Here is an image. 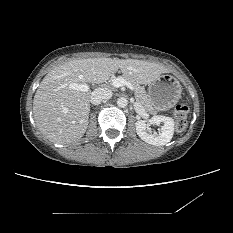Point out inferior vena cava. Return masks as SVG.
Returning <instances> with one entry per match:
<instances>
[{
  "mask_svg": "<svg viewBox=\"0 0 233 233\" xmlns=\"http://www.w3.org/2000/svg\"><path fill=\"white\" fill-rule=\"evenodd\" d=\"M112 97V91L108 88H97L92 94L90 101L93 105H99L102 101L110 99Z\"/></svg>",
  "mask_w": 233,
  "mask_h": 233,
  "instance_id": "inferior-vena-cava-1",
  "label": "inferior vena cava"
}]
</instances>
